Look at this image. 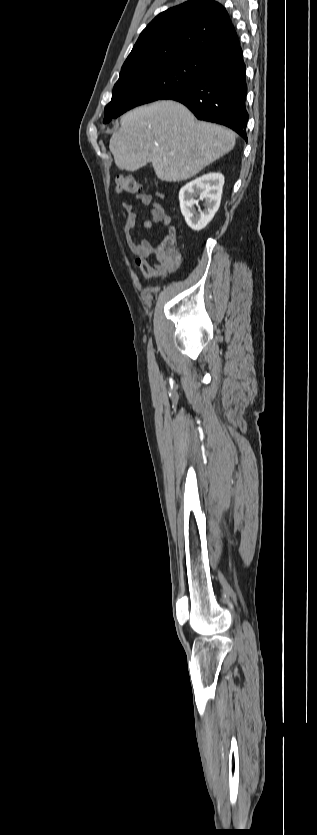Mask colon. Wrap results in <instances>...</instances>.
Segmentation results:
<instances>
[{
  "label": "colon",
  "instance_id": "colon-1",
  "mask_svg": "<svg viewBox=\"0 0 317 835\" xmlns=\"http://www.w3.org/2000/svg\"><path fill=\"white\" fill-rule=\"evenodd\" d=\"M116 191L118 193L135 194L141 191L140 183L131 175H119L116 177ZM161 252L171 258L178 257L177 240L174 233L169 234L160 245Z\"/></svg>",
  "mask_w": 317,
  "mask_h": 835
}]
</instances>
